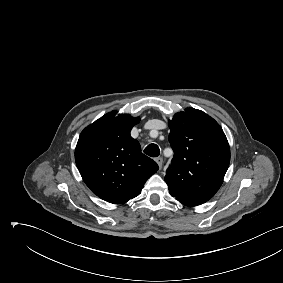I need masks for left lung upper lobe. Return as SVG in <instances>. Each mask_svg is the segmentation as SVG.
Returning a JSON list of instances; mask_svg holds the SVG:
<instances>
[{
	"instance_id": "obj_1",
	"label": "left lung upper lobe",
	"mask_w": 283,
	"mask_h": 283,
	"mask_svg": "<svg viewBox=\"0 0 283 283\" xmlns=\"http://www.w3.org/2000/svg\"><path fill=\"white\" fill-rule=\"evenodd\" d=\"M174 150L165 181L172 197L188 207L201 205L219 190L230 163L221 126L203 111L187 108L169 121Z\"/></svg>"
}]
</instances>
